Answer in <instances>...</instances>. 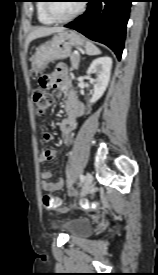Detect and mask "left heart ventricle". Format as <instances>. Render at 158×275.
<instances>
[{"instance_id": "1", "label": "left heart ventricle", "mask_w": 158, "mask_h": 275, "mask_svg": "<svg viewBox=\"0 0 158 275\" xmlns=\"http://www.w3.org/2000/svg\"><path fill=\"white\" fill-rule=\"evenodd\" d=\"M80 1H56L52 4L55 15L59 17H67L77 10Z\"/></svg>"}]
</instances>
